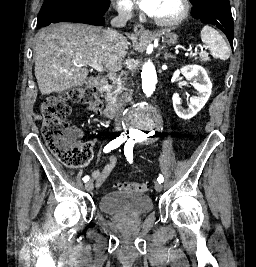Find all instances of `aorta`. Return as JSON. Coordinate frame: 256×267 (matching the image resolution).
<instances>
[{
    "label": "aorta",
    "instance_id": "1",
    "mask_svg": "<svg viewBox=\"0 0 256 267\" xmlns=\"http://www.w3.org/2000/svg\"><path fill=\"white\" fill-rule=\"evenodd\" d=\"M142 70L146 71L141 75L145 94H152L157 80L155 63L147 60ZM157 113L158 108H151V104H136V108H129L124 127H156V122H162V117H157ZM131 133H150V128H131ZM142 143H159V138H142Z\"/></svg>",
    "mask_w": 256,
    "mask_h": 267
}]
</instances>
